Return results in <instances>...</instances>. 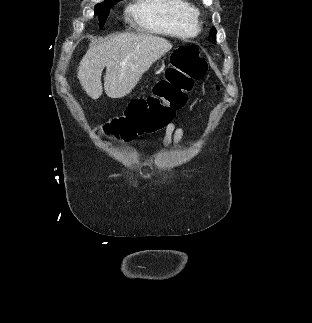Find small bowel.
<instances>
[{
    "label": "small bowel",
    "mask_w": 312,
    "mask_h": 323,
    "mask_svg": "<svg viewBox=\"0 0 312 323\" xmlns=\"http://www.w3.org/2000/svg\"><path fill=\"white\" fill-rule=\"evenodd\" d=\"M166 134L162 140L164 147H171L175 146L176 148H179L183 137H184V129L181 126L176 125L174 122H171L166 127ZM192 136L195 139L196 133L195 131L192 132Z\"/></svg>",
    "instance_id": "small-bowel-1"
}]
</instances>
